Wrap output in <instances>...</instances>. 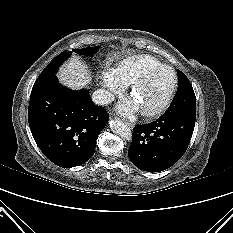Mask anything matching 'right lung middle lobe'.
Listing matches in <instances>:
<instances>
[{"mask_svg":"<svg viewBox=\"0 0 233 233\" xmlns=\"http://www.w3.org/2000/svg\"><path fill=\"white\" fill-rule=\"evenodd\" d=\"M99 46L96 47H89L83 49H73V52L82 55V56H90L97 52ZM71 56V52L63 51L61 54L56 56L48 65L47 67L41 72L39 77L37 78L34 86L43 84L45 82L50 81L52 78L56 76V72L59 67L63 64L65 60H67Z\"/></svg>","mask_w":233,"mask_h":233,"instance_id":"right-lung-middle-lobe-1","label":"right lung middle lobe"}]
</instances>
